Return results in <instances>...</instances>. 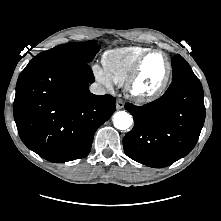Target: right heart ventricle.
<instances>
[{"label": "right heart ventricle", "instance_id": "1", "mask_svg": "<svg viewBox=\"0 0 221 221\" xmlns=\"http://www.w3.org/2000/svg\"><path fill=\"white\" fill-rule=\"evenodd\" d=\"M148 50L136 45L109 49L102 55L103 68L113 83L123 86L137 60Z\"/></svg>", "mask_w": 221, "mask_h": 221}]
</instances>
